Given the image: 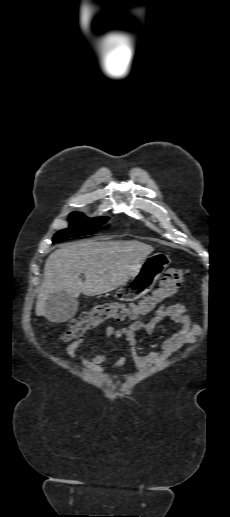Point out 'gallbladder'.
I'll list each match as a JSON object with an SVG mask.
<instances>
[{
    "instance_id": "1",
    "label": "gallbladder",
    "mask_w": 230,
    "mask_h": 517,
    "mask_svg": "<svg viewBox=\"0 0 230 517\" xmlns=\"http://www.w3.org/2000/svg\"><path fill=\"white\" fill-rule=\"evenodd\" d=\"M78 309V302L66 292H56L46 301L47 318L53 322H64L72 318Z\"/></svg>"
}]
</instances>
